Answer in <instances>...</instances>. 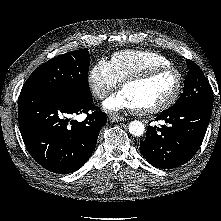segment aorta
I'll return each instance as SVG.
<instances>
[{"mask_svg": "<svg viewBox=\"0 0 221 221\" xmlns=\"http://www.w3.org/2000/svg\"><path fill=\"white\" fill-rule=\"evenodd\" d=\"M145 131V126L141 121L134 120L129 123V132L133 136H141Z\"/></svg>", "mask_w": 221, "mask_h": 221, "instance_id": "aorta-1", "label": "aorta"}]
</instances>
